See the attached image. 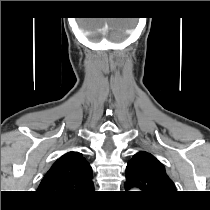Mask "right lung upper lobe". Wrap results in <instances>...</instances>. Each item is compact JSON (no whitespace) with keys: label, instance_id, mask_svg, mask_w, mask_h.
Masks as SVG:
<instances>
[{"label":"right lung upper lobe","instance_id":"cb5924a9","mask_svg":"<svg viewBox=\"0 0 210 210\" xmlns=\"http://www.w3.org/2000/svg\"><path fill=\"white\" fill-rule=\"evenodd\" d=\"M93 189L91 166L81 153L71 151L52 165L38 192L51 200L70 202L85 198Z\"/></svg>","mask_w":210,"mask_h":210}]
</instances>
